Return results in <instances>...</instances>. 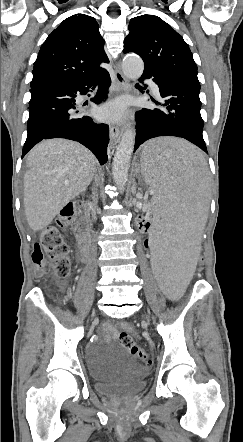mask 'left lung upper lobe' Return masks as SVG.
<instances>
[{
	"label": "left lung upper lobe",
	"mask_w": 243,
	"mask_h": 442,
	"mask_svg": "<svg viewBox=\"0 0 243 442\" xmlns=\"http://www.w3.org/2000/svg\"><path fill=\"white\" fill-rule=\"evenodd\" d=\"M129 31L123 52L138 54L145 68L197 78V65L188 44L160 17L145 14L132 18Z\"/></svg>",
	"instance_id": "1"
}]
</instances>
